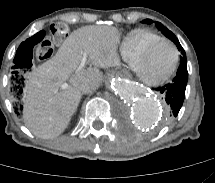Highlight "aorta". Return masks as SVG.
<instances>
[{
	"instance_id": "762f6f07",
	"label": "aorta",
	"mask_w": 215,
	"mask_h": 183,
	"mask_svg": "<svg viewBox=\"0 0 215 183\" xmlns=\"http://www.w3.org/2000/svg\"><path fill=\"white\" fill-rule=\"evenodd\" d=\"M108 89L114 99L127 109V112L131 111L138 125L150 128L161 121L162 106L140 85L113 76L108 79Z\"/></svg>"
}]
</instances>
